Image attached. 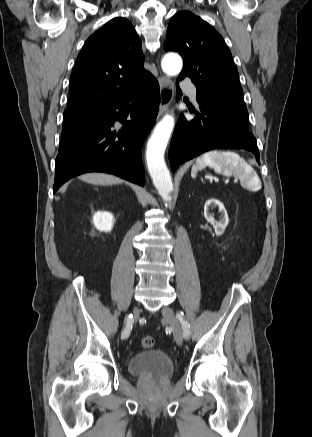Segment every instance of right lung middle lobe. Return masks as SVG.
<instances>
[{
    "label": "right lung middle lobe",
    "mask_w": 312,
    "mask_h": 437,
    "mask_svg": "<svg viewBox=\"0 0 312 437\" xmlns=\"http://www.w3.org/2000/svg\"><path fill=\"white\" fill-rule=\"evenodd\" d=\"M97 113V110H86V111H69L64 112V122L63 129L72 127L85 119L92 117Z\"/></svg>",
    "instance_id": "dd1d6c3e"
}]
</instances>
